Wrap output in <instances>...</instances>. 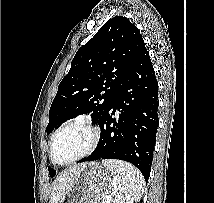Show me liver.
<instances>
[{
  "label": "liver",
  "instance_id": "obj_1",
  "mask_svg": "<svg viewBox=\"0 0 214 203\" xmlns=\"http://www.w3.org/2000/svg\"><path fill=\"white\" fill-rule=\"evenodd\" d=\"M83 164L74 165L65 169L54 180L51 187L50 203H59L65 192L71 188Z\"/></svg>",
  "mask_w": 214,
  "mask_h": 203
}]
</instances>
